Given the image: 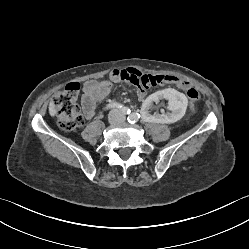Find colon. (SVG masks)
Instances as JSON below:
<instances>
[{"instance_id": "1", "label": "colon", "mask_w": 249, "mask_h": 249, "mask_svg": "<svg viewBox=\"0 0 249 249\" xmlns=\"http://www.w3.org/2000/svg\"><path fill=\"white\" fill-rule=\"evenodd\" d=\"M162 83H176L185 89L186 96L191 102L192 111L195 110V103L199 99V92L189 85L185 80H180L174 76H154L143 74L144 89L155 87ZM80 94V84L76 82L69 83L65 88L57 93L53 99L59 127L65 131H73L80 127L84 122V117L78 107L77 101Z\"/></svg>"}]
</instances>
